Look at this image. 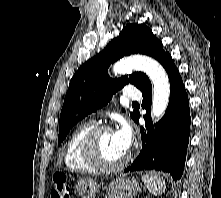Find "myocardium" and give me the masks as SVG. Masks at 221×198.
I'll return each mask as SVG.
<instances>
[{
	"instance_id": "f54148a6",
	"label": "myocardium",
	"mask_w": 221,
	"mask_h": 198,
	"mask_svg": "<svg viewBox=\"0 0 221 198\" xmlns=\"http://www.w3.org/2000/svg\"><path fill=\"white\" fill-rule=\"evenodd\" d=\"M112 131L108 125L94 126L86 135L83 142V154L87 162L96 170L113 172L122 169L129 162L130 154L126 153L124 158L116 163H107L100 155L99 138L104 132Z\"/></svg>"
}]
</instances>
